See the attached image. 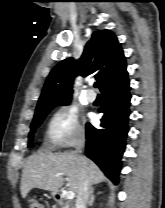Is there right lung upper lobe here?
Here are the masks:
<instances>
[{
	"label": "right lung upper lobe",
	"instance_id": "cb5924a9",
	"mask_svg": "<svg viewBox=\"0 0 165 208\" xmlns=\"http://www.w3.org/2000/svg\"><path fill=\"white\" fill-rule=\"evenodd\" d=\"M126 72L125 56L116 36L110 30L96 31L87 42L79 60L67 58L51 70L36 112L53 104L70 102L72 84L77 75L97 73L96 80L102 90Z\"/></svg>",
	"mask_w": 165,
	"mask_h": 208
}]
</instances>
